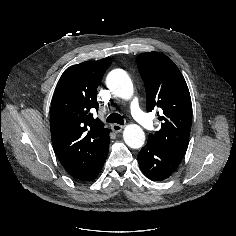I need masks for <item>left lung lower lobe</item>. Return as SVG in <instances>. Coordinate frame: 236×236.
<instances>
[{
  "mask_svg": "<svg viewBox=\"0 0 236 236\" xmlns=\"http://www.w3.org/2000/svg\"><path fill=\"white\" fill-rule=\"evenodd\" d=\"M137 159L142 172L153 181L168 178L180 163L150 143L141 149Z\"/></svg>",
  "mask_w": 236,
  "mask_h": 236,
  "instance_id": "0a47b994",
  "label": "left lung lower lobe"
}]
</instances>
